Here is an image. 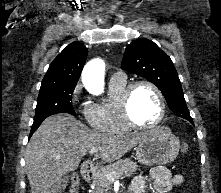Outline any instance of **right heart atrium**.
Wrapping results in <instances>:
<instances>
[{"label":"right heart atrium","mask_w":221,"mask_h":193,"mask_svg":"<svg viewBox=\"0 0 221 193\" xmlns=\"http://www.w3.org/2000/svg\"><path fill=\"white\" fill-rule=\"evenodd\" d=\"M80 93H81V87L79 85H77L73 90H72V93H71V99L73 101H76L79 96H80Z\"/></svg>","instance_id":"right-heart-atrium-1"}]
</instances>
